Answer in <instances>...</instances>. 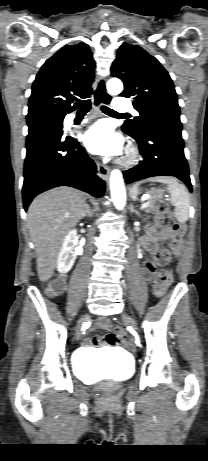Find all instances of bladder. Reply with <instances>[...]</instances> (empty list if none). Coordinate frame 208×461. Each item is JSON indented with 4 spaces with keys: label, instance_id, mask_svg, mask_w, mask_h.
I'll return each instance as SVG.
<instances>
[{
    "label": "bladder",
    "instance_id": "bladder-1",
    "mask_svg": "<svg viewBox=\"0 0 208 461\" xmlns=\"http://www.w3.org/2000/svg\"><path fill=\"white\" fill-rule=\"evenodd\" d=\"M74 367L77 374L87 380L111 378L121 381L130 377L132 361L122 354L109 353L99 360H93L89 353L84 352L75 358Z\"/></svg>",
    "mask_w": 208,
    "mask_h": 461
}]
</instances>
